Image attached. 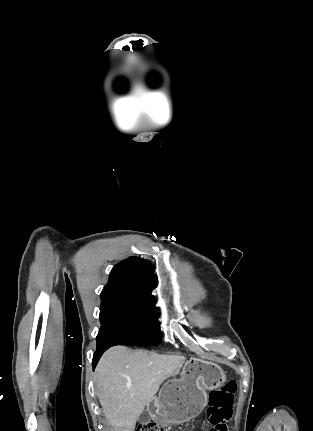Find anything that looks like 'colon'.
Masks as SVG:
<instances>
[{
	"label": "colon",
	"mask_w": 313,
	"mask_h": 431,
	"mask_svg": "<svg viewBox=\"0 0 313 431\" xmlns=\"http://www.w3.org/2000/svg\"><path fill=\"white\" fill-rule=\"evenodd\" d=\"M236 390V382L228 381L221 388L210 392L207 420L212 427L209 431H230L228 422L232 416L231 407ZM136 431H165V429L162 425L151 422L139 425Z\"/></svg>",
	"instance_id": "1"
}]
</instances>
